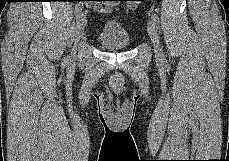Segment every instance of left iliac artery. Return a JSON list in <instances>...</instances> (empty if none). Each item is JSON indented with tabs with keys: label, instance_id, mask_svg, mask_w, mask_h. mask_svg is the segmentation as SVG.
Segmentation results:
<instances>
[{
	"label": "left iliac artery",
	"instance_id": "left-iliac-artery-1",
	"mask_svg": "<svg viewBox=\"0 0 229 161\" xmlns=\"http://www.w3.org/2000/svg\"><path fill=\"white\" fill-rule=\"evenodd\" d=\"M151 18L154 21L156 27H158V25H159V17L156 14H152ZM162 57L164 59V55L163 54H162Z\"/></svg>",
	"mask_w": 229,
	"mask_h": 161
}]
</instances>
